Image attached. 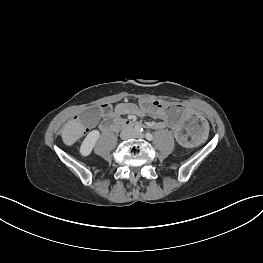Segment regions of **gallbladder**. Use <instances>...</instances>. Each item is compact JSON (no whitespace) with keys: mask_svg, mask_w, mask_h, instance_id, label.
Segmentation results:
<instances>
[{"mask_svg":"<svg viewBox=\"0 0 263 263\" xmlns=\"http://www.w3.org/2000/svg\"><path fill=\"white\" fill-rule=\"evenodd\" d=\"M101 117V109L98 106L89 107L81 113V119L87 126H95Z\"/></svg>","mask_w":263,"mask_h":263,"instance_id":"1","label":"gallbladder"}]
</instances>
